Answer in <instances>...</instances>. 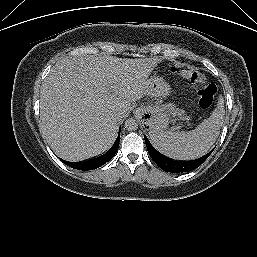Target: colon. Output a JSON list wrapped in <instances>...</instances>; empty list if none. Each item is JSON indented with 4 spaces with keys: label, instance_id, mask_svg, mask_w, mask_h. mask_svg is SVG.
<instances>
[{
    "label": "colon",
    "instance_id": "5ec220e1",
    "mask_svg": "<svg viewBox=\"0 0 257 257\" xmlns=\"http://www.w3.org/2000/svg\"><path fill=\"white\" fill-rule=\"evenodd\" d=\"M168 72L169 74H178L191 83L200 85V89L198 90V103L200 108L209 109L213 105L217 87L215 84L209 82L202 72L197 70L179 71L174 67H170Z\"/></svg>",
    "mask_w": 257,
    "mask_h": 257
}]
</instances>
